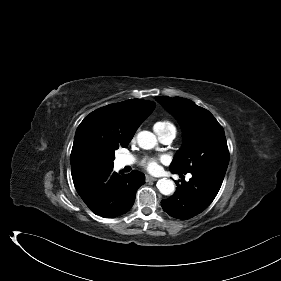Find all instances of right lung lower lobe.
<instances>
[{"label": "right lung lower lobe", "instance_id": "obj_1", "mask_svg": "<svg viewBox=\"0 0 281 281\" xmlns=\"http://www.w3.org/2000/svg\"><path fill=\"white\" fill-rule=\"evenodd\" d=\"M112 170L113 167L75 187L92 212L102 217L126 213L135 201L137 189L145 183V175L139 171L119 176Z\"/></svg>", "mask_w": 281, "mask_h": 281}]
</instances>
